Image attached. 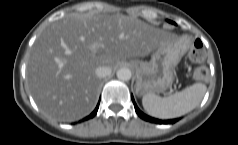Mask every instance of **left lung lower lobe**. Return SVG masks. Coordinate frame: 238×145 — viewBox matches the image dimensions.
<instances>
[{"instance_id": "1", "label": "left lung lower lobe", "mask_w": 238, "mask_h": 145, "mask_svg": "<svg viewBox=\"0 0 238 145\" xmlns=\"http://www.w3.org/2000/svg\"><path fill=\"white\" fill-rule=\"evenodd\" d=\"M170 22V21H169ZM132 101H133V104H134V107H135V111L136 113L143 119V120H146V121H149V122H152V123H157V124H173L175 123L176 121H178V119H172V120H159V119H155V118H152L150 116H147L146 114L142 113L139 108L137 107L135 101H134V98L132 96Z\"/></svg>"}]
</instances>
